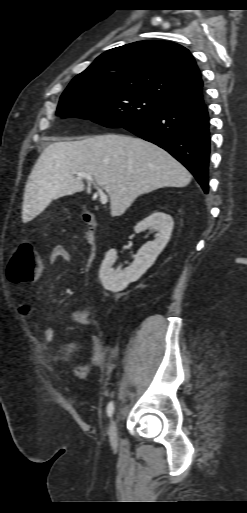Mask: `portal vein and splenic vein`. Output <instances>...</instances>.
I'll list each match as a JSON object with an SVG mask.
<instances>
[{
	"label": "portal vein and splenic vein",
	"mask_w": 247,
	"mask_h": 513,
	"mask_svg": "<svg viewBox=\"0 0 247 513\" xmlns=\"http://www.w3.org/2000/svg\"><path fill=\"white\" fill-rule=\"evenodd\" d=\"M77 178L78 179H86L88 181H91L94 183V180H93V177L91 174H87V173H84V172H78L76 174ZM95 187L98 189V194H99V197H100V202L102 204H106L107 201H108V197L107 195L97 186L96 183H94Z\"/></svg>",
	"instance_id": "1"
}]
</instances>
